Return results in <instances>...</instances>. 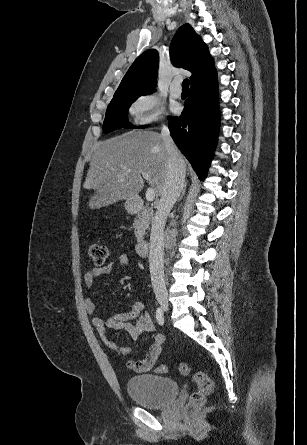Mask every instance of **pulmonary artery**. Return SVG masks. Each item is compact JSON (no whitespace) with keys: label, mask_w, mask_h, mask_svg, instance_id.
<instances>
[{"label":"pulmonary artery","mask_w":307,"mask_h":445,"mask_svg":"<svg viewBox=\"0 0 307 445\" xmlns=\"http://www.w3.org/2000/svg\"><path fill=\"white\" fill-rule=\"evenodd\" d=\"M181 80V76H176L175 77V81H172L170 84L171 87V94L174 95L175 97H179L181 95V90L183 87Z\"/></svg>","instance_id":"1"}]
</instances>
